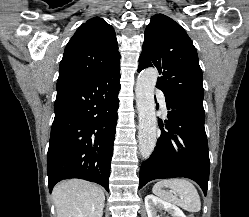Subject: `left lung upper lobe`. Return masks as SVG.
<instances>
[{"label":"left lung upper lobe","instance_id":"1","mask_svg":"<svg viewBox=\"0 0 249 217\" xmlns=\"http://www.w3.org/2000/svg\"><path fill=\"white\" fill-rule=\"evenodd\" d=\"M156 67V87L166 95L180 94L202 100L204 89L198 55L186 31L163 14L152 16L144 33L138 72Z\"/></svg>","mask_w":249,"mask_h":217}]
</instances>
